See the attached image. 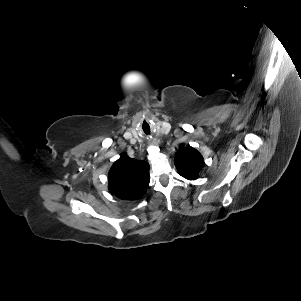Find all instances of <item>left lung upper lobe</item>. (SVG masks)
<instances>
[{"label": "left lung upper lobe", "mask_w": 301, "mask_h": 301, "mask_svg": "<svg viewBox=\"0 0 301 301\" xmlns=\"http://www.w3.org/2000/svg\"><path fill=\"white\" fill-rule=\"evenodd\" d=\"M174 163L182 177L188 180H196L204 165V160L196 149L187 146L176 153Z\"/></svg>", "instance_id": "1"}]
</instances>
